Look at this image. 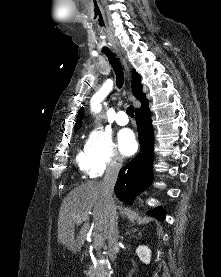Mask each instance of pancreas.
<instances>
[{
  "label": "pancreas",
  "instance_id": "cf45deb5",
  "mask_svg": "<svg viewBox=\"0 0 221 277\" xmlns=\"http://www.w3.org/2000/svg\"><path fill=\"white\" fill-rule=\"evenodd\" d=\"M95 249L98 251V248L95 247ZM86 273L90 277H109V271L105 264H101L97 261L96 267L91 265L89 269L86 271Z\"/></svg>",
  "mask_w": 221,
  "mask_h": 277
}]
</instances>
